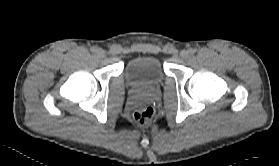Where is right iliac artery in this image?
I'll return each mask as SVG.
<instances>
[{
	"instance_id": "82829eb1",
	"label": "right iliac artery",
	"mask_w": 279,
	"mask_h": 166,
	"mask_svg": "<svg viewBox=\"0 0 279 166\" xmlns=\"http://www.w3.org/2000/svg\"><path fill=\"white\" fill-rule=\"evenodd\" d=\"M90 50H91V52L95 53V52H97L98 49H97V47L93 46V47H91Z\"/></svg>"
}]
</instances>
